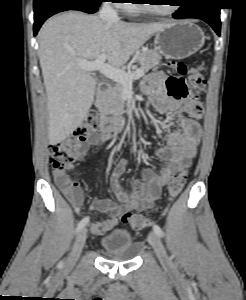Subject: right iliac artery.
Segmentation results:
<instances>
[{
    "label": "right iliac artery",
    "instance_id": "1",
    "mask_svg": "<svg viewBox=\"0 0 246 300\" xmlns=\"http://www.w3.org/2000/svg\"><path fill=\"white\" fill-rule=\"evenodd\" d=\"M89 222V217H84L79 223H78V226H77V229H76V232H79L82 228H84L87 223ZM63 262H60V265H62Z\"/></svg>",
    "mask_w": 246,
    "mask_h": 300
}]
</instances>
